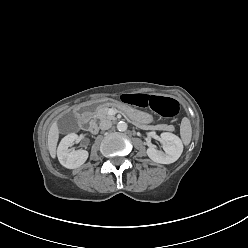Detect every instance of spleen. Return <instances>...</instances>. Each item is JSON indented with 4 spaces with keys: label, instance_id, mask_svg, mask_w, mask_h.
Returning <instances> with one entry per match:
<instances>
[{
    "label": "spleen",
    "instance_id": "3e777b00",
    "mask_svg": "<svg viewBox=\"0 0 248 248\" xmlns=\"http://www.w3.org/2000/svg\"><path fill=\"white\" fill-rule=\"evenodd\" d=\"M180 136L185 145H189L192 138V127L188 118H183L180 125Z\"/></svg>",
    "mask_w": 248,
    "mask_h": 248
}]
</instances>
